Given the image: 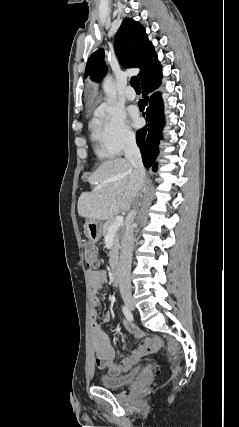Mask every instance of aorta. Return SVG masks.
<instances>
[{
  "label": "aorta",
  "mask_w": 239,
  "mask_h": 427,
  "mask_svg": "<svg viewBox=\"0 0 239 427\" xmlns=\"http://www.w3.org/2000/svg\"><path fill=\"white\" fill-rule=\"evenodd\" d=\"M103 90L108 97L109 101H114L117 97L115 87L113 85V79L111 76H107L103 82Z\"/></svg>",
  "instance_id": "obj_1"
}]
</instances>
